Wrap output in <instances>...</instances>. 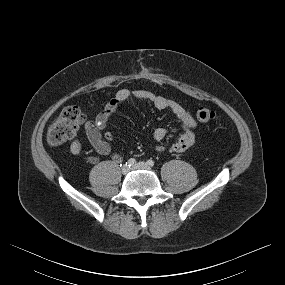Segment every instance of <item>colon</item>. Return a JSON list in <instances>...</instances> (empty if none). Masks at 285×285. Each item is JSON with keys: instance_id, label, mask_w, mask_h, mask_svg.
I'll return each mask as SVG.
<instances>
[{"instance_id": "colon-1", "label": "colon", "mask_w": 285, "mask_h": 285, "mask_svg": "<svg viewBox=\"0 0 285 285\" xmlns=\"http://www.w3.org/2000/svg\"><path fill=\"white\" fill-rule=\"evenodd\" d=\"M215 117L216 112L213 109L206 106L197 109L196 118L202 123L212 121ZM85 120V114L77 106L65 107L47 130L48 143L58 146L74 138Z\"/></svg>"}]
</instances>
